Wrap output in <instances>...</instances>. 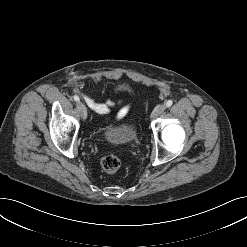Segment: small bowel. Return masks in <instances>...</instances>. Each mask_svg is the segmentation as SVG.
Returning <instances> with one entry per match:
<instances>
[{"label": "small bowel", "instance_id": "small-bowel-1", "mask_svg": "<svg viewBox=\"0 0 247 247\" xmlns=\"http://www.w3.org/2000/svg\"><path fill=\"white\" fill-rule=\"evenodd\" d=\"M82 96L91 109L99 114L105 115L107 118L111 116L113 109L116 107H118V111L114 115L115 120H121L130 113V105L122 104L121 101L106 99L104 102H97L85 94H82Z\"/></svg>", "mask_w": 247, "mask_h": 247}]
</instances>
